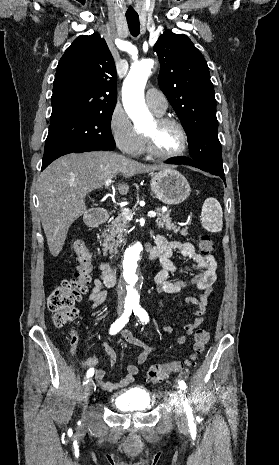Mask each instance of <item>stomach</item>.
<instances>
[{"mask_svg": "<svg viewBox=\"0 0 279 465\" xmlns=\"http://www.w3.org/2000/svg\"><path fill=\"white\" fill-rule=\"evenodd\" d=\"M150 187L155 197L167 205L182 203L191 192L187 179L171 167L159 169L154 173Z\"/></svg>", "mask_w": 279, "mask_h": 465, "instance_id": "obj_1", "label": "stomach"}]
</instances>
